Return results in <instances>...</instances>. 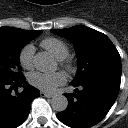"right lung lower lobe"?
I'll return each mask as SVG.
<instances>
[{"label":"right lung lower lobe","instance_id":"right-lung-lower-lobe-1","mask_svg":"<svg viewBox=\"0 0 128 128\" xmlns=\"http://www.w3.org/2000/svg\"><path fill=\"white\" fill-rule=\"evenodd\" d=\"M21 86L24 87L21 93H11ZM39 96V90L28 85L24 76L0 80V128H16L22 124L30 112L31 102Z\"/></svg>","mask_w":128,"mask_h":128}]
</instances>
